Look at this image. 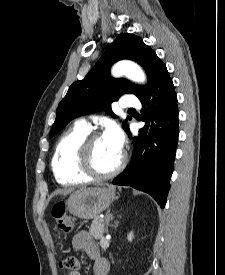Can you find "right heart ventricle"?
Segmentation results:
<instances>
[{
  "label": "right heart ventricle",
  "instance_id": "obj_1",
  "mask_svg": "<svg viewBox=\"0 0 225 275\" xmlns=\"http://www.w3.org/2000/svg\"><path fill=\"white\" fill-rule=\"evenodd\" d=\"M89 132V128L75 124L58 140L52 157V170L58 183L75 185L89 180L76 166L77 148Z\"/></svg>",
  "mask_w": 225,
  "mask_h": 275
}]
</instances>
